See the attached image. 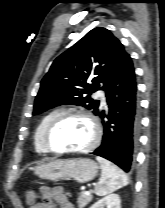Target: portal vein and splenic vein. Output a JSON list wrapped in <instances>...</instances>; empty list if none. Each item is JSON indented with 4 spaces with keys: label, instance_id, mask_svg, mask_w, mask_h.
<instances>
[{
    "label": "portal vein and splenic vein",
    "instance_id": "18ae733b",
    "mask_svg": "<svg viewBox=\"0 0 165 208\" xmlns=\"http://www.w3.org/2000/svg\"><path fill=\"white\" fill-rule=\"evenodd\" d=\"M86 195H90V191H85L84 192Z\"/></svg>",
    "mask_w": 165,
    "mask_h": 208
}]
</instances>
